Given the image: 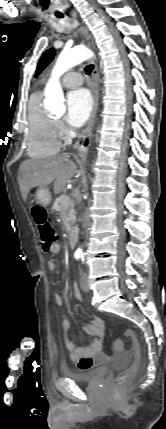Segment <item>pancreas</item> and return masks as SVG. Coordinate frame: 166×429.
<instances>
[{
	"label": "pancreas",
	"mask_w": 166,
	"mask_h": 429,
	"mask_svg": "<svg viewBox=\"0 0 166 429\" xmlns=\"http://www.w3.org/2000/svg\"><path fill=\"white\" fill-rule=\"evenodd\" d=\"M67 196L57 198L53 204V209L67 217L71 224L75 222L74 204L71 200L66 201Z\"/></svg>",
	"instance_id": "cf45deb5"
}]
</instances>
